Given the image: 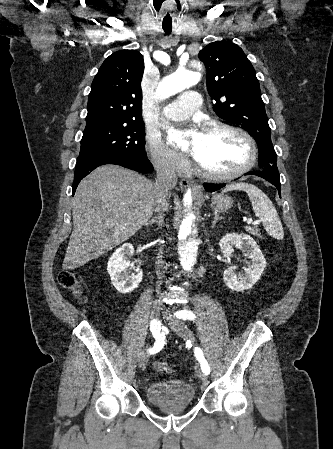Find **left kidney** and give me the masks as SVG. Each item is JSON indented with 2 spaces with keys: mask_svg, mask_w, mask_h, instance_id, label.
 <instances>
[{
  "mask_svg": "<svg viewBox=\"0 0 333 449\" xmlns=\"http://www.w3.org/2000/svg\"><path fill=\"white\" fill-rule=\"evenodd\" d=\"M220 248L226 255H231L234 247L244 252L251 259V263L244 268L245 274L238 276L235 273L236 266H229L224 271L223 280L226 286L233 291H241L251 288L259 280L266 260L256 241L247 234H226L220 240Z\"/></svg>",
  "mask_w": 333,
  "mask_h": 449,
  "instance_id": "left-kidney-1",
  "label": "left kidney"
}]
</instances>
